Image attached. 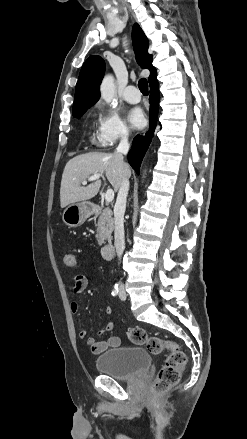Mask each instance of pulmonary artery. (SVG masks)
I'll use <instances>...</instances> for the list:
<instances>
[{"mask_svg": "<svg viewBox=\"0 0 247 439\" xmlns=\"http://www.w3.org/2000/svg\"><path fill=\"white\" fill-rule=\"evenodd\" d=\"M123 98L125 101L134 104L141 100V95L135 86L129 85L124 89Z\"/></svg>", "mask_w": 247, "mask_h": 439, "instance_id": "pulmonary-artery-1", "label": "pulmonary artery"}]
</instances>
